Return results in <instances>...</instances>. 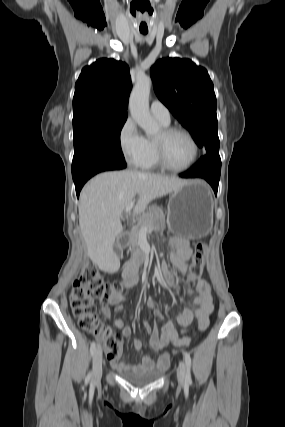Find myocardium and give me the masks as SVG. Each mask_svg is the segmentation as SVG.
Returning <instances> with one entry per match:
<instances>
[{
	"instance_id": "f54148a6",
	"label": "myocardium",
	"mask_w": 285,
	"mask_h": 427,
	"mask_svg": "<svg viewBox=\"0 0 285 427\" xmlns=\"http://www.w3.org/2000/svg\"><path fill=\"white\" fill-rule=\"evenodd\" d=\"M174 134L185 135L193 145V156H192L190 162L183 167H174L171 164H169V162L166 159L165 144H166V141ZM154 143H155V149H156V155H157L158 163L162 168H164L166 170H169L172 172H184V171H187L190 168H192L198 160V156H199L198 142L196 141V139L192 135V133L185 128L176 127V126L165 127L161 131L160 138H156L154 140Z\"/></svg>"
}]
</instances>
